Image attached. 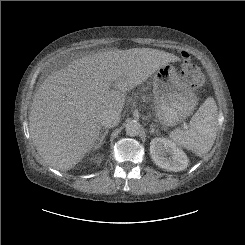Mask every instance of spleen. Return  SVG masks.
Returning a JSON list of instances; mask_svg holds the SVG:
<instances>
[{"label": "spleen", "instance_id": "1", "mask_svg": "<svg viewBox=\"0 0 245 245\" xmlns=\"http://www.w3.org/2000/svg\"><path fill=\"white\" fill-rule=\"evenodd\" d=\"M218 108L213 98L208 97L192 116L189 129H175L169 137L176 145L199 156L212 148L217 135Z\"/></svg>", "mask_w": 245, "mask_h": 245}]
</instances>
